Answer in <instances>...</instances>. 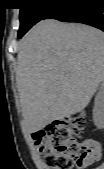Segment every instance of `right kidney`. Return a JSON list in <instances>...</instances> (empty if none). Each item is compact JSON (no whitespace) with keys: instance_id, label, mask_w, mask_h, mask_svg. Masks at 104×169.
I'll return each mask as SVG.
<instances>
[{"instance_id":"ca27d5eb","label":"right kidney","mask_w":104,"mask_h":169,"mask_svg":"<svg viewBox=\"0 0 104 169\" xmlns=\"http://www.w3.org/2000/svg\"><path fill=\"white\" fill-rule=\"evenodd\" d=\"M93 121L94 124L101 128L104 125V86H100L97 95L94 100L93 108Z\"/></svg>"}]
</instances>
